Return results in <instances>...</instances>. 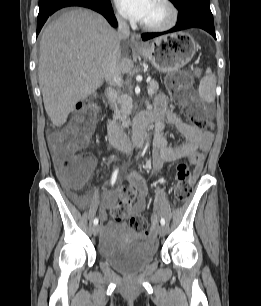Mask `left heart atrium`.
<instances>
[{
	"instance_id": "39dd6f15",
	"label": "left heart atrium",
	"mask_w": 261,
	"mask_h": 306,
	"mask_svg": "<svg viewBox=\"0 0 261 306\" xmlns=\"http://www.w3.org/2000/svg\"><path fill=\"white\" fill-rule=\"evenodd\" d=\"M119 12L133 21H143L152 0H115Z\"/></svg>"
}]
</instances>
